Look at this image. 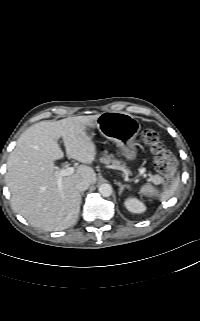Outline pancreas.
<instances>
[{
  "label": "pancreas",
  "mask_w": 200,
  "mask_h": 321,
  "mask_svg": "<svg viewBox=\"0 0 200 321\" xmlns=\"http://www.w3.org/2000/svg\"><path fill=\"white\" fill-rule=\"evenodd\" d=\"M100 162L109 165L113 169L121 170L126 175L130 173L125 164H122V162L117 159H113L111 156L104 155L100 158Z\"/></svg>",
  "instance_id": "obj_1"
}]
</instances>
